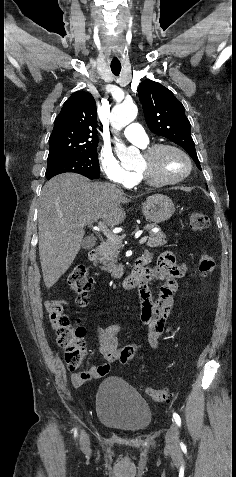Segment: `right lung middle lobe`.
<instances>
[{
    "instance_id": "right-lung-middle-lobe-1",
    "label": "right lung middle lobe",
    "mask_w": 236,
    "mask_h": 477,
    "mask_svg": "<svg viewBox=\"0 0 236 477\" xmlns=\"http://www.w3.org/2000/svg\"><path fill=\"white\" fill-rule=\"evenodd\" d=\"M67 172L77 173L89 179H98L100 174L97 145L81 148L61 158L48 160L45 174L48 180L55 175Z\"/></svg>"
}]
</instances>
